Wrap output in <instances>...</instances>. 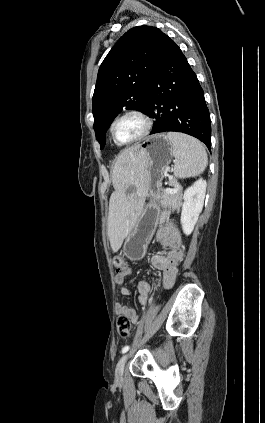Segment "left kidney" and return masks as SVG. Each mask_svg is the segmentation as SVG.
<instances>
[{
	"instance_id": "left-kidney-1",
	"label": "left kidney",
	"mask_w": 265,
	"mask_h": 423,
	"mask_svg": "<svg viewBox=\"0 0 265 423\" xmlns=\"http://www.w3.org/2000/svg\"><path fill=\"white\" fill-rule=\"evenodd\" d=\"M207 183L200 178L184 191L181 225L185 235H190L202 211Z\"/></svg>"
}]
</instances>
